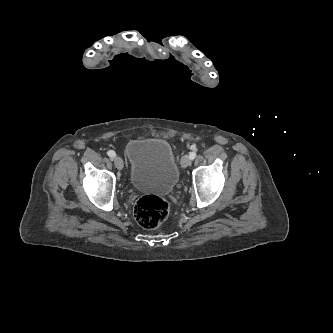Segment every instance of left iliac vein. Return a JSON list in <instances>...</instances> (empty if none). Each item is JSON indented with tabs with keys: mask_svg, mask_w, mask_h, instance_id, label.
Masks as SVG:
<instances>
[{
	"mask_svg": "<svg viewBox=\"0 0 333 333\" xmlns=\"http://www.w3.org/2000/svg\"><path fill=\"white\" fill-rule=\"evenodd\" d=\"M190 164H191V159H190L189 155H184L181 159L182 167L186 168Z\"/></svg>",
	"mask_w": 333,
	"mask_h": 333,
	"instance_id": "1",
	"label": "left iliac vein"
}]
</instances>
